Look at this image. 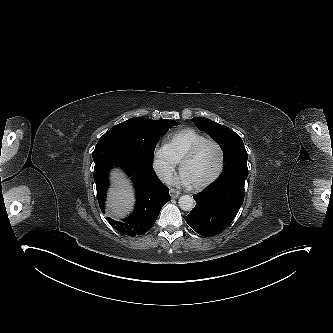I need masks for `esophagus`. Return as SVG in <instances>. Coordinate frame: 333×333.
<instances>
[{
	"instance_id": "esophagus-1",
	"label": "esophagus",
	"mask_w": 333,
	"mask_h": 333,
	"mask_svg": "<svg viewBox=\"0 0 333 333\" xmlns=\"http://www.w3.org/2000/svg\"><path fill=\"white\" fill-rule=\"evenodd\" d=\"M170 195L172 198H178V196L180 195V192L173 188H170Z\"/></svg>"
}]
</instances>
